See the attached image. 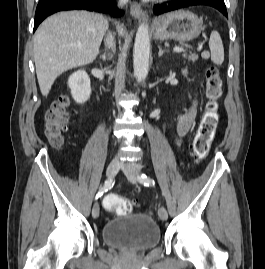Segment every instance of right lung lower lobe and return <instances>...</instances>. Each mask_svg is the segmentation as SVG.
Returning a JSON list of instances; mask_svg holds the SVG:
<instances>
[{
    "label": "right lung lower lobe",
    "instance_id": "98d812e1",
    "mask_svg": "<svg viewBox=\"0 0 265 269\" xmlns=\"http://www.w3.org/2000/svg\"><path fill=\"white\" fill-rule=\"evenodd\" d=\"M73 9L112 13L114 16L122 14L116 7L115 0H40L35 13L34 31L49 15Z\"/></svg>",
    "mask_w": 265,
    "mask_h": 269
}]
</instances>
